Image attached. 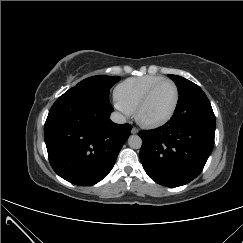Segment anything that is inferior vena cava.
I'll list each match as a JSON object with an SVG mask.
<instances>
[{
    "mask_svg": "<svg viewBox=\"0 0 243 243\" xmlns=\"http://www.w3.org/2000/svg\"><path fill=\"white\" fill-rule=\"evenodd\" d=\"M111 120L118 124H123L126 122V118L119 112H113L111 114Z\"/></svg>",
    "mask_w": 243,
    "mask_h": 243,
    "instance_id": "602c4592",
    "label": "inferior vena cava"
}]
</instances>
